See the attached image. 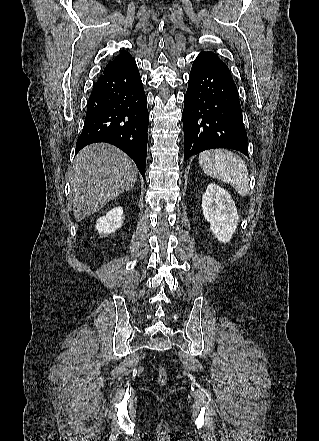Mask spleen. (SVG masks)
Instances as JSON below:
<instances>
[{
  "label": "spleen",
  "mask_w": 319,
  "mask_h": 441,
  "mask_svg": "<svg viewBox=\"0 0 319 441\" xmlns=\"http://www.w3.org/2000/svg\"><path fill=\"white\" fill-rule=\"evenodd\" d=\"M199 164L209 176L231 184L241 195L249 193V173L244 160L226 149H212L199 154Z\"/></svg>",
  "instance_id": "obj_1"
}]
</instances>
